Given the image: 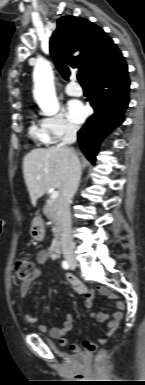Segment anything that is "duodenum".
<instances>
[{"mask_svg": "<svg viewBox=\"0 0 145 385\" xmlns=\"http://www.w3.org/2000/svg\"><path fill=\"white\" fill-rule=\"evenodd\" d=\"M52 251H53V255H54L55 257L60 256L61 251H62V245H61L60 240H56V241L54 242L53 247H52Z\"/></svg>", "mask_w": 145, "mask_h": 385, "instance_id": "410a0bca", "label": "duodenum"}]
</instances>
